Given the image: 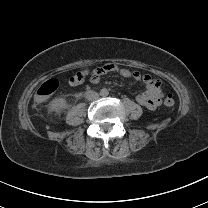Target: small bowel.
<instances>
[{
	"instance_id": "obj_1",
	"label": "small bowel",
	"mask_w": 208,
	"mask_h": 208,
	"mask_svg": "<svg viewBox=\"0 0 208 208\" xmlns=\"http://www.w3.org/2000/svg\"><path fill=\"white\" fill-rule=\"evenodd\" d=\"M118 64L113 62L107 63L105 66H97L94 68V74L91 77L92 82L98 83L102 75L112 73V72H119L120 75L129 78H135L141 82H143L146 87L147 91L143 94H140L137 97V101L145 106L148 109H154L160 104L162 98V87L161 83L158 80L153 79L147 74H141L138 72H132L128 69H118ZM72 85H77L73 84Z\"/></svg>"
}]
</instances>
